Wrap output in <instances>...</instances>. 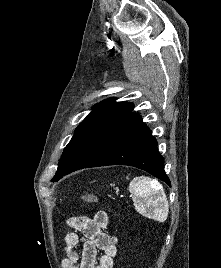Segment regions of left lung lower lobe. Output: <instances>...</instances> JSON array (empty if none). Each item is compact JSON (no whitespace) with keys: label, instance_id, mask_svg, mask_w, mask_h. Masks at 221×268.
<instances>
[{"label":"left lung lower lobe","instance_id":"1","mask_svg":"<svg viewBox=\"0 0 221 268\" xmlns=\"http://www.w3.org/2000/svg\"><path fill=\"white\" fill-rule=\"evenodd\" d=\"M156 146L141 116L129 112L104 129L60 178L82 168L120 164L145 170L170 186L164 158Z\"/></svg>","mask_w":221,"mask_h":268}]
</instances>
